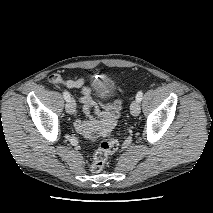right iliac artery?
I'll list each match as a JSON object with an SVG mask.
<instances>
[{"label": "right iliac artery", "mask_w": 213, "mask_h": 213, "mask_svg": "<svg viewBox=\"0 0 213 213\" xmlns=\"http://www.w3.org/2000/svg\"><path fill=\"white\" fill-rule=\"evenodd\" d=\"M63 97L66 101H69L71 98H70V94L67 92V91H64L63 92Z\"/></svg>", "instance_id": "right-iliac-artery-1"}]
</instances>
